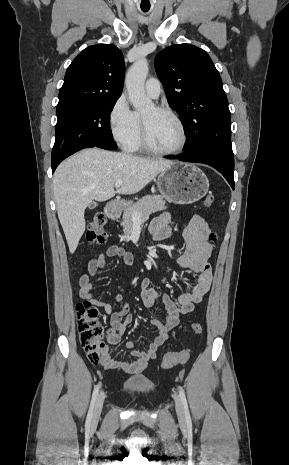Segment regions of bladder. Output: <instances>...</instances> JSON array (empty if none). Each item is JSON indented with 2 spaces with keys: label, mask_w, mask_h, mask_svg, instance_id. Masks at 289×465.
<instances>
[{
  "label": "bladder",
  "mask_w": 289,
  "mask_h": 465,
  "mask_svg": "<svg viewBox=\"0 0 289 465\" xmlns=\"http://www.w3.org/2000/svg\"><path fill=\"white\" fill-rule=\"evenodd\" d=\"M156 390L155 385L146 378H132L123 382L122 392L126 395L145 394L150 395Z\"/></svg>",
  "instance_id": "bladder-1"
}]
</instances>
